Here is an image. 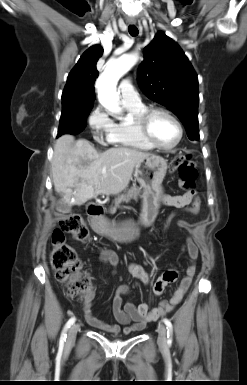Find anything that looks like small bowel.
<instances>
[{
    "mask_svg": "<svg viewBox=\"0 0 247 385\" xmlns=\"http://www.w3.org/2000/svg\"><path fill=\"white\" fill-rule=\"evenodd\" d=\"M161 202L166 206L174 208H187V211L193 215L198 213L200 206V199L195 191H189L179 195L165 194L162 196ZM177 224L182 228L190 227V223L185 220H180ZM183 250H185L189 256V265L185 270V275L180 279L178 286L170 299L161 301L159 305L154 308H150L147 303L135 305L133 302L127 301L123 304V296L128 295L130 289L128 285L122 284L118 287L112 300V313L115 319V324H109L98 319L92 313L90 306H85L84 308L86 321L99 330L110 332L112 334H119L123 332L128 335L144 329L149 322L156 321L161 316L170 312L182 300L196 272L198 248L191 238L187 239L186 244L183 246ZM99 260L100 262L107 263L112 267H116L119 263V258L116 252L109 249L101 251ZM128 271L134 278L140 280L145 285L150 284L151 276L142 266L130 263L128 265ZM177 277L178 273L176 270L169 269L165 271L153 284V294L155 296L162 295L165 287L169 283L175 282ZM94 295L95 290L93 289L88 300L91 301L94 298ZM121 326H123V329Z\"/></svg>",
    "mask_w": 247,
    "mask_h": 385,
    "instance_id": "1",
    "label": "small bowel"
}]
</instances>
